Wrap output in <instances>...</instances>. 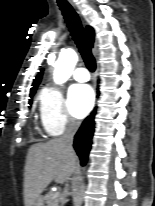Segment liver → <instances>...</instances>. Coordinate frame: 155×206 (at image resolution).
<instances>
[{"instance_id": "6515ba94", "label": "liver", "mask_w": 155, "mask_h": 206, "mask_svg": "<svg viewBox=\"0 0 155 206\" xmlns=\"http://www.w3.org/2000/svg\"><path fill=\"white\" fill-rule=\"evenodd\" d=\"M77 162L73 152H68L60 138L30 147L24 173V203L33 206L45 188L54 180L68 181Z\"/></svg>"}]
</instances>
